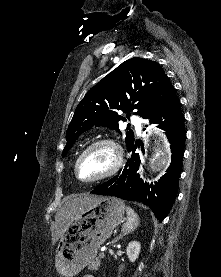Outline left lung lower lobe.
Masks as SVG:
<instances>
[{"mask_svg":"<svg viewBox=\"0 0 221 277\" xmlns=\"http://www.w3.org/2000/svg\"><path fill=\"white\" fill-rule=\"evenodd\" d=\"M151 124H158L157 127L166 132L171 143L172 162L167 173L155 184L143 183L137 173L140 157L135 153L137 142H134L129 149L130 151L134 147L132 156L124 170L92 190L91 193L144 202L153 210L156 218L162 222L168 215L177 195L186 138L184 117L175 90L149 118V125Z\"/></svg>","mask_w":221,"mask_h":277,"instance_id":"obj_1","label":"left lung lower lobe"}]
</instances>
